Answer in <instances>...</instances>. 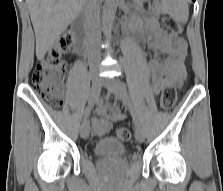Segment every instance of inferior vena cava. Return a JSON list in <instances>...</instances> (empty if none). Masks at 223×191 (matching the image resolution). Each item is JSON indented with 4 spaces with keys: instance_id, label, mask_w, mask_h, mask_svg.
Listing matches in <instances>:
<instances>
[{
    "instance_id": "602c4592",
    "label": "inferior vena cava",
    "mask_w": 223,
    "mask_h": 191,
    "mask_svg": "<svg viewBox=\"0 0 223 191\" xmlns=\"http://www.w3.org/2000/svg\"><path fill=\"white\" fill-rule=\"evenodd\" d=\"M84 13L90 58L98 61L101 58V51L98 45L101 29L100 0H85Z\"/></svg>"
}]
</instances>
